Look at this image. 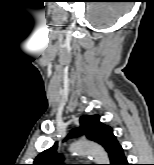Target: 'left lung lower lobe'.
Here are the masks:
<instances>
[{
    "label": "left lung lower lobe",
    "instance_id": "obj_1",
    "mask_svg": "<svg viewBox=\"0 0 154 165\" xmlns=\"http://www.w3.org/2000/svg\"><path fill=\"white\" fill-rule=\"evenodd\" d=\"M110 165H129L126 157L124 156L122 147L119 148Z\"/></svg>",
    "mask_w": 154,
    "mask_h": 165
}]
</instances>
